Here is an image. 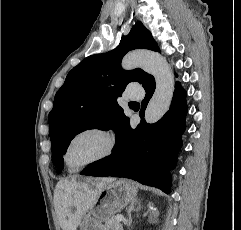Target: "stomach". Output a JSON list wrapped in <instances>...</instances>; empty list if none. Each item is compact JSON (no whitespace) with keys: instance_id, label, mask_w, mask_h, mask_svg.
Wrapping results in <instances>:
<instances>
[{"instance_id":"1","label":"stomach","mask_w":241,"mask_h":230,"mask_svg":"<svg viewBox=\"0 0 241 230\" xmlns=\"http://www.w3.org/2000/svg\"><path fill=\"white\" fill-rule=\"evenodd\" d=\"M137 194V188L128 180L105 183L96 202L84 215L79 230H106L104 222L120 212Z\"/></svg>"}]
</instances>
